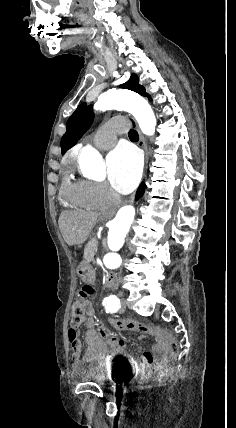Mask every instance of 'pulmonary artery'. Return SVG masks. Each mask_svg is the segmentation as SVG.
Returning <instances> with one entry per match:
<instances>
[{
  "label": "pulmonary artery",
  "instance_id": "e3ab8cb5",
  "mask_svg": "<svg viewBox=\"0 0 236 428\" xmlns=\"http://www.w3.org/2000/svg\"><path fill=\"white\" fill-rule=\"evenodd\" d=\"M118 133V132H117ZM115 145L114 142H97L96 147L100 150H108Z\"/></svg>",
  "mask_w": 236,
  "mask_h": 428
}]
</instances>
